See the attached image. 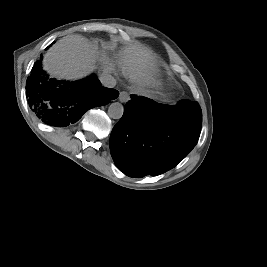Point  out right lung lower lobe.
I'll return each instance as SVG.
<instances>
[{"instance_id":"98d812e1","label":"right lung lower lobe","mask_w":267,"mask_h":267,"mask_svg":"<svg viewBox=\"0 0 267 267\" xmlns=\"http://www.w3.org/2000/svg\"><path fill=\"white\" fill-rule=\"evenodd\" d=\"M41 60L34 64L27 78L29 107L45 124L65 127L77 122L89 109L106 105L119 95L104 88L95 75L79 81H59L42 70Z\"/></svg>"}]
</instances>
